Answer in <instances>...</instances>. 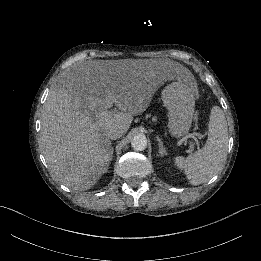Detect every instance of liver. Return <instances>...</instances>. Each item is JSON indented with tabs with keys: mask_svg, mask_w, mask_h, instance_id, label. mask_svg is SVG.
Masks as SVG:
<instances>
[{
	"mask_svg": "<svg viewBox=\"0 0 261 261\" xmlns=\"http://www.w3.org/2000/svg\"><path fill=\"white\" fill-rule=\"evenodd\" d=\"M159 67L146 64L80 63L49 92L40 121V144L55 180L73 190H88L108 171L107 132L126 133L147 110L166 81ZM173 76L179 81L186 69ZM115 104L120 111L109 107Z\"/></svg>",
	"mask_w": 261,
	"mask_h": 261,
	"instance_id": "6515ba94",
	"label": "liver"
}]
</instances>
